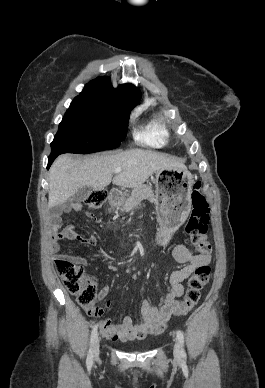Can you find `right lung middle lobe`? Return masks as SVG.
I'll list each match as a JSON object with an SVG mask.
<instances>
[{"label":"right lung middle lobe","instance_id":"right-lung-middle-lobe-1","mask_svg":"<svg viewBox=\"0 0 265 388\" xmlns=\"http://www.w3.org/2000/svg\"><path fill=\"white\" fill-rule=\"evenodd\" d=\"M137 103L109 97H76L51 143V154H88L117 148Z\"/></svg>","mask_w":265,"mask_h":388}]
</instances>
